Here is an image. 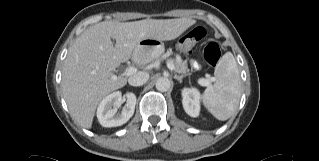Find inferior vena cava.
Segmentation results:
<instances>
[{
  "label": "inferior vena cava",
  "instance_id": "obj_1",
  "mask_svg": "<svg viewBox=\"0 0 319 161\" xmlns=\"http://www.w3.org/2000/svg\"><path fill=\"white\" fill-rule=\"evenodd\" d=\"M149 79L147 72L139 71L133 76L129 77L128 82L131 86H141L145 84Z\"/></svg>",
  "mask_w": 319,
  "mask_h": 161
}]
</instances>
